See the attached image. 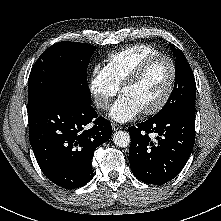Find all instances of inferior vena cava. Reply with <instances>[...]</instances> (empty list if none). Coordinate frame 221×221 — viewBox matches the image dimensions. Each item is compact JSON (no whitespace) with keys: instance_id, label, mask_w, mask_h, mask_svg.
I'll use <instances>...</instances> for the list:
<instances>
[{"instance_id":"obj_1","label":"inferior vena cava","mask_w":221,"mask_h":221,"mask_svg":"<svg viewBox=\"0 0 221 221\" xmlns=\"http://www.w3.org/2000/svg\"><path fill=\"white\" fill-rule=\"evenodd\" d=\"M94 103H95L96 108H99V109L100 108L105 109L108 106V100L106 97L97 96L95 97Z\"/></svg>"}]
</instances>
